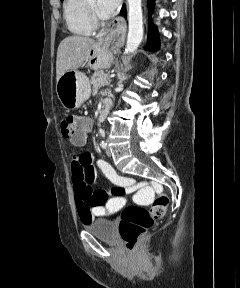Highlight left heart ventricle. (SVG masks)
<instances>
[{
	"label": "left heart ventricle",
	"mask_w": 240,
	"mask_h": 288,
	"mask_svg": "<svg viewBox=\"0 0 240 288\" xmlns=\"http://www.w3.org/2000/svg\"><path fill=\"white\" fill-rule=\"evenodd\" d=\"M87 3H88L91 7H93V8L95 9V11L97 12V10H96V0H87ZM97 14H98V12H97Z\"/></svg>",
	"instance_id": "b2bd125f"
}]
</instances>
